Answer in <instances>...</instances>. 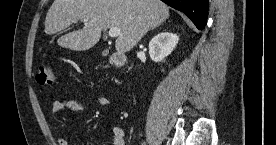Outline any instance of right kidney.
Segmentation results:
<instances>
[{
    "mask_svg": "<svg viewBox=\"0 0 276 145\" xmlns=\"http://www.w3.org/2000/svg\"><path fill=\"white\" fill-rule=\"evenodd\" d=\"M179 37L170 32H161L149 42V55L154 62H160L171 54Z\"/></svg>",
    "mask_w": 276,
    "mask_h": 145,
    "instance_id": "right-kidney-1",
    "label": "right kidney"
}]
</instances>
